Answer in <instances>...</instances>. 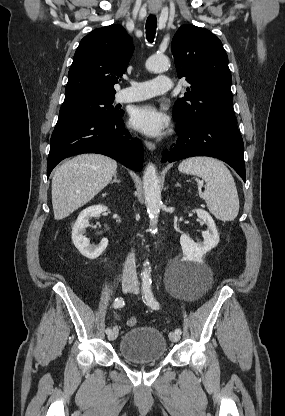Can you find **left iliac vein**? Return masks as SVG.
Masks as SVG:
<instances>
[{"label": "left iliac vein", "instance_id": "4c4485c4", "mask_svg": "<svg viewBox=\"0 0 285 416\" xmlns=\"http://www.w3.org/2000/svg\"><path fill=\"white\" fill-rule=\"evenodd\" d=\"M130 292H133L135 294L139 293V283L137 281H135V283L130 287L129 289ZM169 338L172 342H178L180 339L179 334H176L174 332H170L169 333Z\"/></svg>", "mask_w": 285, "mask_h": 416}]
</instances>
